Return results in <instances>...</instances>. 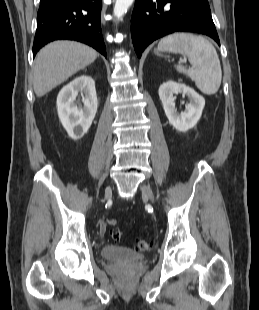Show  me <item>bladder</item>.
Masks as SVG:
<instances>
[{"label":"bladder","instance_id":"bladder-1","mask_svg":"<svg viewBox=\"0 0 259 310\" xmlns=\"http://www.w3.org/2000/svg\"><path fill=\"white\" fill-rule=\"evenodd\" d=\"M102 259L112 262H136L145 258L143 254L118 245H106L101 251Z\"/></svg>","mask_w":259,"mask_h":310}]
</instances>
